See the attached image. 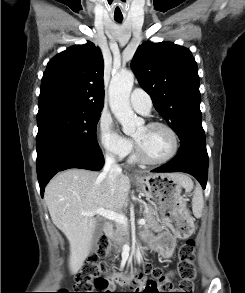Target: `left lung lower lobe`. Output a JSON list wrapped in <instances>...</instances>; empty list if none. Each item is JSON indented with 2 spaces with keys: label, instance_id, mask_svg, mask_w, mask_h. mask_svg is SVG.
Instances as JSON below:
<instances>
[{
  "label": "left lung lower lobe",
  "instance_id": "obj_1",
  "mask_svg": "<svg viewBox=\"0 0 245 293\" xmlns=\"http://www.w3.org/2000/svg\"><path fill=\"white\" fill-rule=\"evenodd\" d=\"M152 172H185L194 176L206 188L208 177V154L206 145L182 143L178 154L167 164Z\"/></svg>",
  "mask_w": 245,
  "mask_h": 293
}]
</instances>
